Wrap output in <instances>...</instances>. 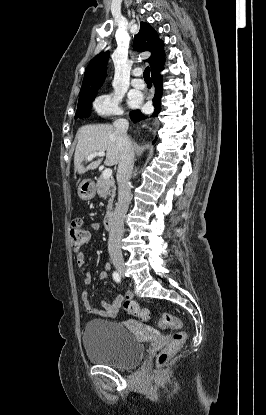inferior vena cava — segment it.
I'll return each instance as SVG.
<instances>
[{
    "label": "inferior vena cava",
    "mask_w": 266,
    "mask_h": 415,
    "mask_svg": "<svg viewBox=\"0 0 266 415\" xmlns=\"http://www.w3.org/2000/svg\"><path fill=\"white\" fill-rule=\"evenodd\" d=\"M113 125L120 158L117 170L118 202L108 239V251L111 258L122 257L121 239L124 232V219L131 201L130 178L134 166V148L127 135L128 121L117 119Z\"/></svg>",
    "instance_id": "obj_1"
}]
</instances>
